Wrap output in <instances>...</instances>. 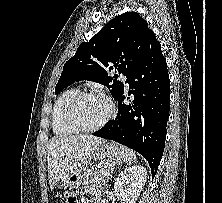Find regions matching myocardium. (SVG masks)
<instances>
[{
	"mask_svg": "<svg viewBox=\"0 0 222 203\" xmlns=\"http://www.w3.org/2000/svg\"><path fill=\"white\" fill-rule=\"evenodd\" d=\"M86 97H99L105 100L109 106V112L107 116L102 121L93 126L83 125L76 116L77 105L82 99ZM115 112L116 110L114 103L107 95L96 91H85V92H79L69 101L65 110V119L71 127H73L79 132H93L104 127L115 116Z\"/></svg>",
	"mask_w": 222,
	"mask_h": 203,
	"instance_id": "1",
	"label": "myocardium"
}]
</instances>
